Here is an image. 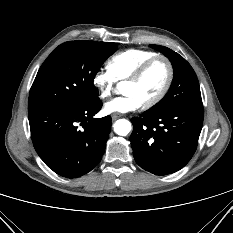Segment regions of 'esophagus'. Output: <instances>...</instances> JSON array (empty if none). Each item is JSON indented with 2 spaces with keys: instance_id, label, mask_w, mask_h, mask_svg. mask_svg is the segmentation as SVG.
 I'll list each match as a JSON object with an SVG mask.
<instances>
[{
  "instance_id": "esophagus-1",
  "label": "esophagus",
  "mask_w": 233,
  "mask_h": 233,
  "mask_svg": "<svg viewBox=\"0 0 233 233\" xmlns=\"http://www.w3.org/2000/svg\"><path fill=\"white\" fill-rule=\"evenodd\" d=\"M121 116H122V115L119 114V113H113V114L111 115V118H112V120H116V119L120 118Z\"/></svg>"
}]
</instances>
